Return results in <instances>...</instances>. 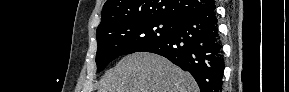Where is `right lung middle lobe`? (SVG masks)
I'll return each mask as SVG.
<instances>
[{"label":"right lung middle lobe","mask_w":289,"mask_h":92,"mask_svg":"<svg viewBox=\"0 0 289 92\" xmlns=\"http://www.w3.org/2000/svg\"><path fill=\"white\" fill-rule=\"evenodd\" d=\"M175 22L158 18L126 20L97 31V72L113 59L166 40L174 31Z\"/></svg>","instance_id":"1"}]
</instances>
